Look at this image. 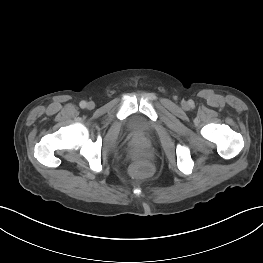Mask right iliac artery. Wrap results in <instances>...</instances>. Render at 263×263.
<instances>
[{
    "label": "right iliac artery",
    "instance_id": "obj_1",
    "mask_svg": "<svg viewBox=\"0 0 263 263\" xmlns=\"http://www.w3.org/2000/svg\"><path fill=\"white\" fill-rule=\"evenodd\" d=\"M79 105L81 108H85L87 106V103L85 101H81Z\"/></svg>",
    "mask_w": 263,
    "mask_h": 263
}]
</instances>
